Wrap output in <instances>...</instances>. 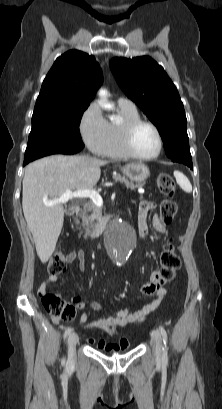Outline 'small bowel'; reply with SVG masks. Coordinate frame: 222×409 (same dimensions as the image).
I'll list each match as a JSON object with an SVG mask.
<instances>
[{"label":"small bowel","mask_w":222,"mask_h":409,"mask_svg":"<svg viewBox=\"0 0 222 409\" xmlns=\"http://www.w3.org/2000/svg\"><path fill=\"white\" fill-rule=\"evenodd\" d=\"M155 207V202L149 199H142L140 201L138 211V230L143 239H146L148 236V228L146 223L147 215L151 210L155 209ZM152 225L157 232L165 233V224L157 215L153 217ZM75 260H78L80 270L84 271L86 268V262L83 250L74 249L66 256V263L68 264L74 262ZM153 274L150 281H145L143 286L139 287V292L145 297H154L151 302L143 306L141 309L131 312L128 308H123L87 323L88 313L86 310L88 307L83 303H79L77 304V308L85 310L79 319V323L84 328H99L107 332L110 336L116 337L118 336V328L124 329L131 323L143 322L151 312L158 308L167 294V290L162 287L166 283L162 270L156 269L153 271ZM57 280L58 275H49L40 285L38 293L42 294L46 292L47 288L56 283ZM90 307L93 309L103 310V308L98 304H91ZM52 320L54 323H59L60 321L58 317H53ZM87 342L91 345H96L99 350L108 354L125 351L129 348L128 341L123 338L116 343H107L104 340H96L94 338H88Z\"/></svg>","instance_id":"1"}]
</instances>
